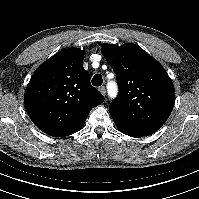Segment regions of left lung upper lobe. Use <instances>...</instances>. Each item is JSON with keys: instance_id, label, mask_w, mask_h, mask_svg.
<instances>
[{"instance_id": "1", "label": "left lung upper lobe", "mask_w": 199, "mask_h": 199, "mask_svg": "<svg viewBox=\"0 0 199 199\" xmlns=\"http://www.w3.org/2000/svg\"><path fill=\"white\" fill-rule=\"evenodd\" d=\"M102 54L114 69L119 96L110 104L113 120L151 135L168 119L175 90L162 65L135 44H102Z\"/></svg>"}]
</instances>
